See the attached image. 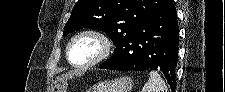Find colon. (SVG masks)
<instances>
[{"label": "colon", "mask_w": 225, "mask_h": 92, "mask_svg": "<svg viewBox=\"0 0 225 92\" xmlns=\"http://www.w3.org/2000/svg\"><path fill=\"white\" fill-rule=\"evenodd\" d=\"M67 76H61L55 85V92H66Z\"/></svg>", "instance_id": "5ec220e1"}]
</instances>
